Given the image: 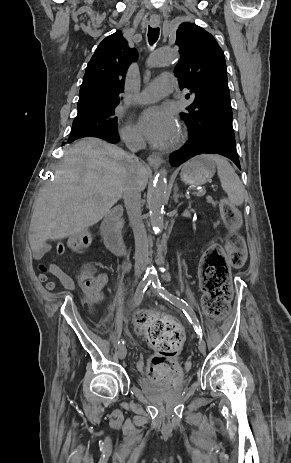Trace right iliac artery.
<instances>
[{
    "label": "right iliac artery",
    "mask_w": 291,
    "mask_h": 463,
    "mask_svg": "<svg viewBox=\"0 0 291 463\" xmlns=\"http://www.w3.org/2000/svg\"><path fill=\"white\" fill-rule=\"evenodd\" d=\"M152 277L145 276L141 282L139 283L136 294H135V304L139 305L142 301L143 294L147 290L148 285L151 283ZM124 344V341H119L118 345L122 346Z\"/></svg>",
    "instance_id": "82829eb1"
}]
</instances>
